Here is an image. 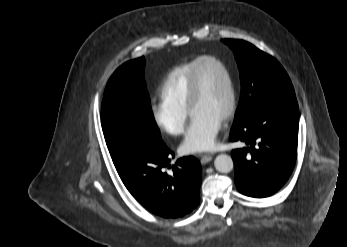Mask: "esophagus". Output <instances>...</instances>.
Returning <instances> with one entry per match:
<instances>
[{
  "label": "esophagus",
  "instance_id": "obj_1",
  "mask_svg": "<svg viewBox=\"0 0 347 247\" xmlns=\"http://www.w3.org/2000/svg\"><path fill=\"white\" fill-rule=\"evenodd\" d=\"M201 159L202 164H206L212 160L213 154L212 153H204L199 155Z\"/></svg>",
  "mask_w": 347,
  "mask_h": 247
}]
</instances>
